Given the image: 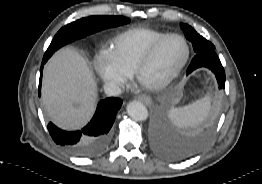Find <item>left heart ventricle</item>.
Returning <instances> with one entry per match:
<instances>
[{"instance_id":"left-heart-ventricle-1","label":"left heart ventricle","mask_w":262,"mask_h":184,"mask_svg":"<svg viewBox=\"0 0 262 184\" xmlns=\"http://www.w3.org/2000/svg\"><path fill=\"white\" fill-rule=\"evenodd\" d=\"M186 47L179 38L168 39L158 50L153 62L143 77L148 81H159L173 72L183 61Z\"/></svg>"}]
</instances>
